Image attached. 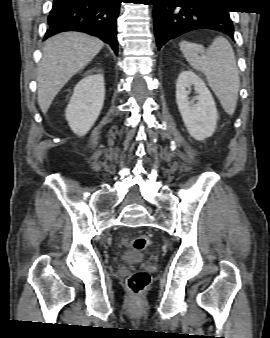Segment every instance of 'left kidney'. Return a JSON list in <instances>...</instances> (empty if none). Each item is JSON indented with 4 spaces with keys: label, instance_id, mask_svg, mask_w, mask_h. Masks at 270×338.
I'll return each instance as SVG.
<instances>
[{
    "label": "left kidney",
    "instance_id": "obj_1",
    "mask_svg": "<svg viewBox=\"0 0 270 338\" xmlns=\"http://www.w3.org/2000/svg\"><path fill=\"white\" fill-rule=\"evenodd\" d=\"M194 86L198 94L189 100V90ZM176 102L189 134L196 140L211 137L215 131L218 113L215 101L204 81L193 71H182L176 83Z\"/></svg>",
    "mask_w": 270,
    "mask_h": 338
}]
</instances>
